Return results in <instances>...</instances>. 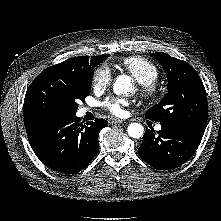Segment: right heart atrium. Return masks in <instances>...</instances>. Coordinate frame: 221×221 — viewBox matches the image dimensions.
<instances>
[{"mask_svg":"<svg viewBox=\"0 0 221 221\" xmlns=\"http://www.w3.org/2000/svg\"><path fill=\"white\" fill-rule=\"evenodd\" d=\"M112 82V72L107 65H100L93 73L92 86L96 91H101L110 86Z\"/></svg>","mask_w":221,"mask_h":221,"instance_id":"obj_1","label":"right heart atrium"}]
</instances>
